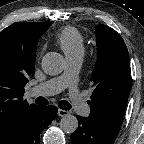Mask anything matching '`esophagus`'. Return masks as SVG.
<instances>
[{
  "instance_id": "obj_1",
  "label": "esophagus",
  "mask_w": 144,
  "mask_h": 144,
  "mask_svg": "<svg viewBox=\"0 0 144 144\" xmlns=\"http://www.w3.org/2000/svg\"><path fill=\"white\" fill-rule=\"evenodd\" d=\"M68 114H69L68 111L62 110V109H58V115H59V116L63 117V116H66V115H68Z\"/></svg>"
}]
</instances>
